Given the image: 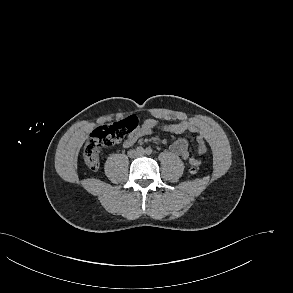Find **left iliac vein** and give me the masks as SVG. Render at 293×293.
Listing matches in <instances>:
<instances>
[{
  "instance_id": "left-iliac-vein-1",
  "label": "left iliac vein",
  "mask_w": 293,
  "mask_h": 293,
  "mask_svg": "<svg viewBox=\"0 0 293 293\" xmlns=\"http://www.w3.org/2000/svg\"><path fill=\"white\" fill-rule=\"evenodd\" d=\"M145 153L142 151V152H138V156H143Z\"/></svg>"
}]
</instances>
